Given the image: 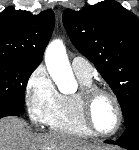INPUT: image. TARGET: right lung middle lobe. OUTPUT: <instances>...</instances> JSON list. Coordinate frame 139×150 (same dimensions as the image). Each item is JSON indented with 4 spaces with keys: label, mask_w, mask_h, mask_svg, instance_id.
Segmentation results:
<instances>
[{
    "label": "right lung middle lobe",
    "mask_w": 139,
    "mask_h": 150,
    "mask_svg": "<svg viewBox=\"0 0 139 150\" xmlns=\"http://www.w3.org/2000/svg\"><path fill=\"white\" fill-rule=\"evenodd\" d=\"M37 65L0 59V109H12L24 113L25 89L31 73Z\"/></svg>",
    "instance_id": "dd1d6c3e"
}]
</instances>
